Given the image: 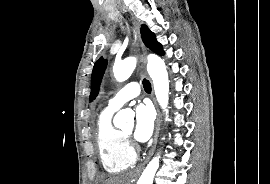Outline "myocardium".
<instances>
[{
    "mask_svg": "<svg viewBox=\"0 0 270 184\" xmlns=\"http://www.w3.org/2000/svg\"><path fill=\"white\" fill-rule=\"evenodd\" d=\"M123 134H124L125 138L127 139V141L128 142H131V136H130V134H127L126 132L123 133Z\"/></svg>",
    "mask_w": 270,
    "mask_h": 184,
    "instance_id": "1",
    "label": "myocardium"
}]
</instances>
